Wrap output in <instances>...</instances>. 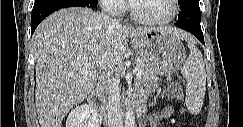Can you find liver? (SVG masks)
Returning <instances> with one entry per match:
<instances>
[{"label":"liver","instance_id":"obj_1","mask_svg":"<svg viewBox=\"0 0 243 127\" xmlns=\"http://www.w3.org/2000/svg\"><path fill=\"white\" fill-rule=\"evenodd\" d=\"M153 30L182 40L192 36L176 28H129L107 14L83 7L60 9L37 27L33 38L36 110L41 127H61L69 110L94 90L127 57V39ZM91 64L87 73L83 66Z\"/></svg>","mask_w":243,"mask_h":127}]
</instances>
